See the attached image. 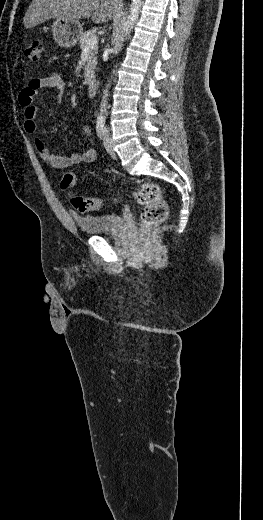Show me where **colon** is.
I'll list each match as a JSON object with an SVG mask.
<instances>
[{
	"label": "colon",
	"mask_w": 263,
	"mask_h": 520,
	"mask_svg": "<svg viewBox=\"0 0 263 520\" xmlns=\"http://www.w3.org/2000/svg\"><path fill=\"white\" fill-rule=\"evenodd\" d=\"M42 42L32 40L24 49V55L29 60L36 62L40 58ZM76 185V176L72 172H66L61 179L60 186L65 191H71ZM137 202L142 205L140 213L141 225L144 228L156 225L167 218L168 205L161 195L159 186L156 183H141L133 192ZM117 200L116 198L114 201ZM72 206L81 213L99 210L103 208L107 201L101 198L85 197L81 195H71Z\"/></svg>",
	"instance_id": "obj_1"
}]
</instances>
